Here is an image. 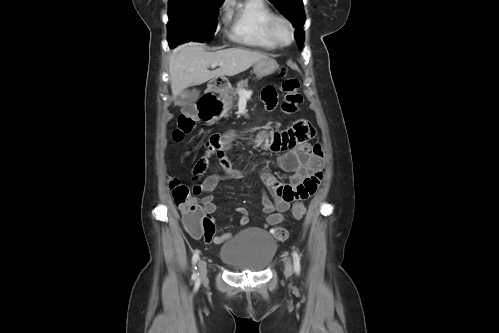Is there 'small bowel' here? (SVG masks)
<instances>
[{"instance_id": "c3829d8e", "label": "small bowel", "mask_w": 499, "mask_h": 333, "mask_svg": "<svg viewBox=\"0 0 499 333\" xmlns=\"http://www.w3.org/2000/svg\"><path fill=\"white\" fill-rule=\"evenodd\" d=\"M262 99L267 109L272 110L276 105L277 94L272 86H267L262 91ZM315 136L312 124L304 119L296 121L291 127L283 131H273L263 134L259 142L269 151L281 153L279 166L290 173L289 183L278 181L266 170L260 176L273 196L271 199L266 194L262 195V211L266 215L265 222L274 226L284 221V213L292 203L306 200L317 191L322 178L324 158L320 144L311 143ZM232 134H214L204 146V155L192 168L193 193L204 194L201 202L205 212L210 215L215 212L216 204L212 194L216 186L224 179H239L245 177V172L233 168L229 155V144ZM216 156L225 175L211 174L203 181L202 176L208 169L209 160ZM239 214L238 222L245 226L249 223V212L240 207L236 210ZM232 237L231 233L214 236L208 243L221 244Z\"/></svg>"}]
</instances>
